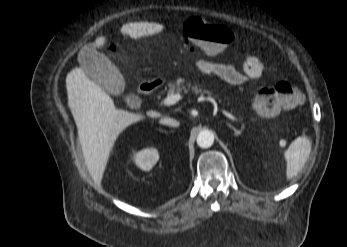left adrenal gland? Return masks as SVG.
Wrapping results in <instances>:
<instances>
[{"instance_id": "1", "label": "left adrenal gland", "mask_w": 347, "mask_h": 247, "mask_svg": "<svg viewBox=\"0 0 347 247\" xmlns=\"http://www.w3.org/2000/svg\"><path fill=\"white\" fill-rule=\"evenodd\" d=\"M233 131L235 136H239L241 134L240 130H237L234 126H232L230 123L227 124Z\"/></svg>"}]
</instances>
